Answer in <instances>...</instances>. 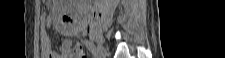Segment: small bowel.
Wrapping results in <instances>:
<instances>
[{
	"instance_id": "1",
	"label": "small bowel",
	"mask_w": 225,
	"mask_h": 58,
	"mask_svg": "<svg viewBox=\"0 0 225 58\" xmlns=\"http://www.w3.org/2000/svg\"><path fill=\"white\" fill-rule=\"evenodd\" d=\"M46 24H52V18H46ZM78 29L76 27L68 28L66 33L69 35L77 34ZM74 47L73 43L69 40L64 41L56 50L52 48L51 43L47 41L43 47V52L47 54L48 58H73L71 50Z\"/></svg>"
}]
</instances>
